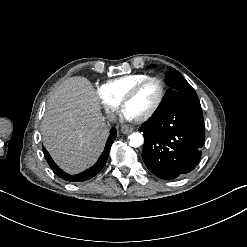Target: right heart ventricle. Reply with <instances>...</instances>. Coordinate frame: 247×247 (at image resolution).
Returning <instances> with one entry per match:
<instances>
[{"label": "right heart ventricle", "mask_w": 247, "mask_h": 247, "mask_svg": "<svg viewBox=\"0 0 247 247\" xmlns=\"http://www.w3.org/2000/svg\"><path fill=\"white\" fill-rule=\"evenodd\" d=\"M147 76L149 75L135 74L119 77L108 81L103 88L106 90L109 101L119 104L120 100L131 90V88Z\"/></svg>", "instance_id": "e07e8e85"}]
</instances>
